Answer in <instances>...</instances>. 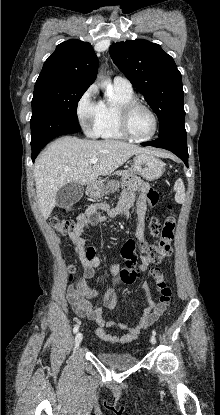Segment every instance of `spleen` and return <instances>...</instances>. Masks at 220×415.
Returning <instances> with one entry per match:
<instances>
[{"mask_svg": "<svg viewBox=\"0 0 220 415\" xmlns=\"http://www.w3.org/2000/svg\"><path fill=\"white\" fill-rule=\"evenodd\" d=\"M174 190L176 192L175 200L177 203H183L185 201V186L182 179H178L175 182Z\"/></svg>", "mask_w": 220, "mask_h": 415, "instance_id": "1", "label": "spleen"}]
</instances>
